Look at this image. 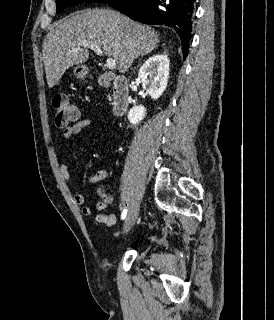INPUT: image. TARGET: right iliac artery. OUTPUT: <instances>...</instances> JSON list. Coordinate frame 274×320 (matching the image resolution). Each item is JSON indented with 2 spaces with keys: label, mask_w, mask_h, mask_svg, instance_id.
Wrapping results in <instances>:
<instances>
[{
  "label": "right iliac artery",
  "mask_w": 274,
  "mask_h": 320,
  "mask_svg": "<svg viewBox=\"0 0 274 320\" xmlns=\"http://www.w3.org/2000/svg\"><path fill=\"white\" fill-rule=\"evenodd\" d=\"M126 215H127V209L125 208V209L123 210V212H122V215H121L122 220L125 219Z\"/></svg>",
  "instance_id": "obj_1"
}]
</instances>
